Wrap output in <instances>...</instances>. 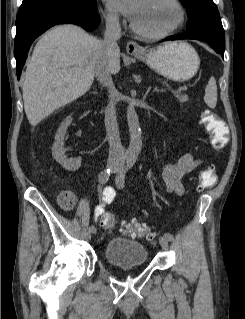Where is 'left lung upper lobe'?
<instances>
[{"label": "left lung upper lobe", "mask_w": 245, "mask_h": 319, "mask_svg": "<svg viewBox=\"0 0 245 319\" xmlns=\"http://www.w3.org/2000/svg\"><path fill=\"white\" fill-rule=\"evenodd\" d=\"M186 7L189 23L186 32L205 33L225 42L220 14L213 0H180Z\"/></svg>", "instance_id": "left-lung-upper-lobe-1"}]
</instances>
